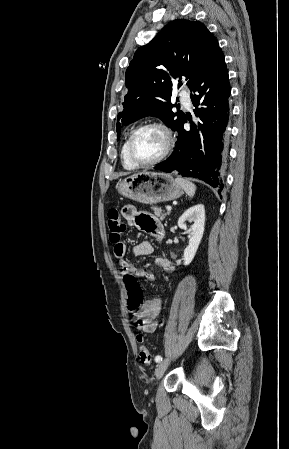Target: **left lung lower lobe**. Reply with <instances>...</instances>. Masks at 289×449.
Masks as SVG:
<instances>
[{
	"instance_id": "obj_1",
	"label": "left lung lower lobe",
	"mask_w": 289,
	"mask_h": 449,
	"mask_svg": "<svg viewBox=\"0 0 289 449\" xmlns=\"http://www.w3.org/2000/svg\"><path fill=\"white\" fill-rule=\"evenodd\" d=\"M191 100L199 119L190 121L184 129L183 117L174 131L178 132L173 153L154 167L163 172L178 171L184 177H194L212 187L223 189L220 181L222 157L227 150L230 85L225 58L217 48L205 61L192 83Z\"/></svg>"
}]
</instances>
